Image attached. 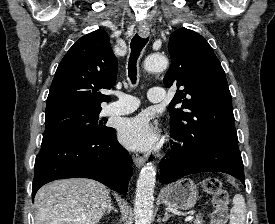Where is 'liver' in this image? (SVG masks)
<instances>
[{"instance_id": "1", "label": "liver", "mask_w": 275, "mask_h": 224, "mask_svg": "<svg viewBox=\"0 0 275 224\" xmlns=\"http://www.w3.org/2000/svg\"><path fill=\"white\" fill-rule=\"evenodd\" d=\"M110 203L109 190L91 179L54 181L36 193L35 224H97Z\"/></svg>"}]
</instances>
